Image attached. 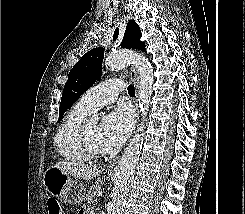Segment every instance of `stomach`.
I'll use <instances>...</instances> for the list:
<instances>
[{
  "label": "stomach",
  "mask_w": 245,
  "mask_h": 214,
  "mask_svg": "<svg viewBox=\"0 0 245 214\" xmlns=\"http://www.w3.org/2000/svg\"><path fill=\"white\" fill-rule=\"evenodd\" d=\"M43 184L51 196L59 197L69 204L81 203L86 194V187L82 183L74 181L69 174L53 166L45 171Z\"/></svg>",
  "instance_id": "1"
}]
</instances>
